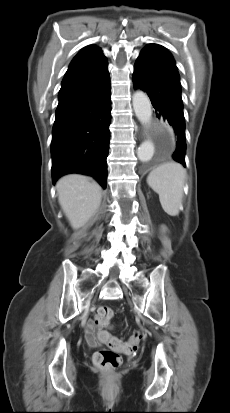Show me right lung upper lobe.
<instances>
[{
    "label": "right lung upper lobe",
    "instance_id": "right-lung-upper-lobe-1",
    "mask_svg": "<svg viewBox=\"0 0 230 413\" xmlns=\"http://www.w3.org/2000/svg\"><path fill=\"white\" fill-rule=\"evenodd\" d=\"M108 69L107 58L95 45L83 48L72 60L62 86L86 80Z\"/></svg>",
    "mask_w": 230,
    "mask_h": 413
}]
</instances>
